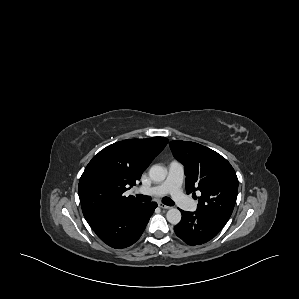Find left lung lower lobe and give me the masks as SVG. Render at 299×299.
<instances>
[{"instance_id": "1", "label": "left lung lower lobe", "mask_w": 299, "mask_h": 299, "mask_svg": "<svg viewBox=\"0 0 299 299\" xmlns=\"http://www.w3.org/2000/svg\"><path fill=\"white\" fill-rule=\"evenodd\" d=\"M181 221L174 227L176 235L191 246L201 245L213 239L223 226L211 218L196 212L182 211Z\"/></svg>"}]
</instances>
